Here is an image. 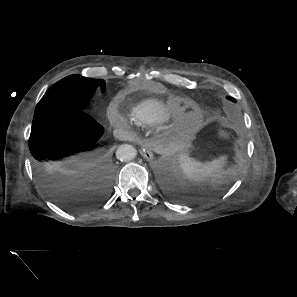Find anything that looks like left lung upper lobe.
<instances>
[{
  "mask_svg": "<svg viewBox=\"0 0 297 297\" xmlns=\"http://www.w3.org/2000/svg\"><path fill=\"white\" fill-rule=\"evenodd\" d=\"M229 100H231V101H234L235 102V99L234 98H232V97H227Z\"/></svg>",
  "mask_w": 297,
  "mask_h": 297,
  "instance_id": "5c2ea615",
  "label": "left lung upper lobe"
}]
</instances>
